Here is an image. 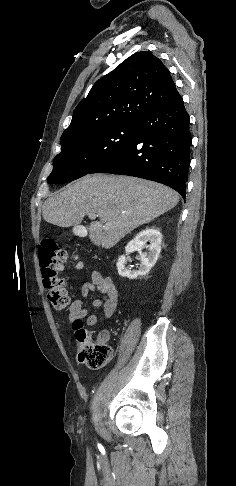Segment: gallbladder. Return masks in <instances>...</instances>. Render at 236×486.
Segmentation results:
<instances>
[{"label": "gallbladder", "mask_w": 236, "mask_h": 486, "mask_svg": "<svg viewBox=\"0 0 236 486\" xmlns=\"http://www.w3.org/2000/svg\"><path fill=\"white\" fill-rule=\"evenodd\" d=\"M78 229H81V227L79 228L77 225H75V226L73 227V232H74V233H77V230H78Z\"/></svg>", "instance_id": "gallbladder-1"}]
</instances>
